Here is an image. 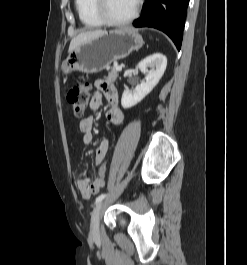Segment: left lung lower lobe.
Here are the masks:
<instances>
[{
  "label": "left lung lower lobe",
  "instance_id": "0a47b994",
  "mask_svg": "<svg viewBox=\"0 0 247 265\" xmlns=\"http://www.w3.org/2000/svg\"><path fill=\"white\" fill-rule=\"evenodd\" d=\"M189 0H145L134 27H152L166 33L180 50Z\"/></svg>",
  "mask_w": 247,
  "mask_h": 265
}]
</instances>
